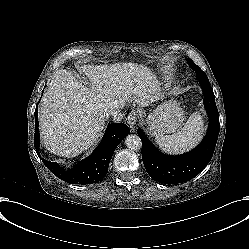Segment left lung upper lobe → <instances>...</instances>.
<instances>
[{
	"label": "left lung upper lobe",
	"instance_id": "left-lung-upper-lobe-1",
	"mask_svg": "<svg viewBox=\"0 0 249 249\" xmlns=\"http://www.w3.org/2000/svg\"><path fill=\"white\" fill-rule=\"evenodd\" d=\"M188 62L190 67L197 72L199 79H208L206 74L203 71H201V69L196 64H194V62L191 59H189Z\"/></svg>",
	"mask_w": 249,
	"mask_h": 249
}]
</instances>
